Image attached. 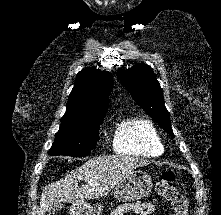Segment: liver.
Returning a JSON list of instances; mask_svg holds the SVG:
<instances>
[{"instance_id":"obj_1","label":"liver","mask_w":221,"mask_h":215,"mask_svg":"<svg viewBox=\"0 0 221 215\" xmlns=\"http://www.w3.org/2000/svg\"><path fill=\"white\" fill-rule=\"evenodd\" d=\"M148 162L132 156H99L43 189L37 215H45L51 203H80L107 195L134 169ZM79 181H84L80 187Z\"/></svg>"}]
</instances>
